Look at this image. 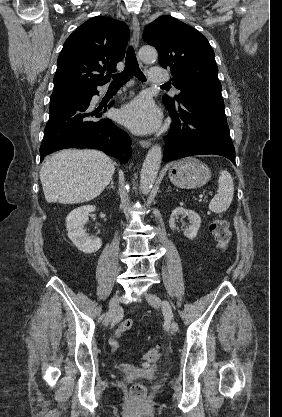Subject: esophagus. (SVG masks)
<instances>
[{
  "label": "esophagus",
  "instance_id": "34e87169",
  "mask_svg": "<svg viewBox=\"0 0 282 417\" xmlns=\"http://www.w3.org/2000/svg\"><path fill=\"white\" fill-rule=\"evenodd\" d=\"M132 28H133V45L137 49L139 45L140 24L136 15H133L132 17ZM139 144L143 148H148L151 145L149 140H140Z\"/></svg>",
  "mask_w": 282,
  "mask_h": 417
}]
</instances>
